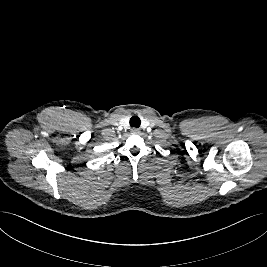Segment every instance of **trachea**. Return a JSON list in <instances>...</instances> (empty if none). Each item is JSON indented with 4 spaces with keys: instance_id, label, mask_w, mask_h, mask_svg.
Instances as JSON below:
<instances>
[{
    "instance_id": "trachea-1",
    "label": "trachea",
    "mask_w": 267,
    "mask_h": 267,
    "mask_svg": "<svg viewBox=\"0 0 267 267\" xmlns=\"http://www.w3.org/2000/svg\"><path fill=\"white\" fill-rule=\"evenodd\" d=\"M141 124V120L139 117L137 116H133L131 119H130V126L131 127H136L138 128Z\"/></svg>"
}]
</instances>
